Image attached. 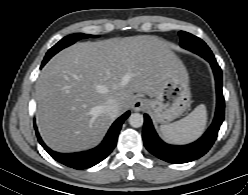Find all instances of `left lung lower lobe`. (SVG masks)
Wrapping results in <instances>:
<instances>
[{"label": "left lung lower lobe", "mask_w": 248, "mask_h": 195, "mask_svg": "<svg viewBox=\"0 0 248 195\" xmlns=\"http://www.w3.org/2000/svg\"><path fill=\"white\" fill-rule=\"evenodd\" d=\"M198 55L206 59L214 72L216 81V113L208 130L197 141L183 146L169 145L157 135L150 117L144 115L143 141L146 149L156 157L169 163H187L202 157L215 142L220 126L224 120L225 101L222 94V71L214 55L199 50Z\"/></svg>", "instance_id": "1"}]
</instances>
